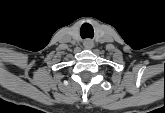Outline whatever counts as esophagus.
<instances>
[{
    "label": "esophagus",
    "instance_id": "34e87169",
    "mask_svg": "<svg viewBox=\"0 0 165 113\" xmlns=\"http://www.w3.org/2000/svg\"><path fill=\"white\" fill-rule=\"evenodd\" d=\"M83 45H84L85 48L91 49V48H93L94 43H93L92 40L87 39V40L84 41Z\"/></svg>",
    "mask_w": 165,
    "mask_h": 113
}]
</instances>
